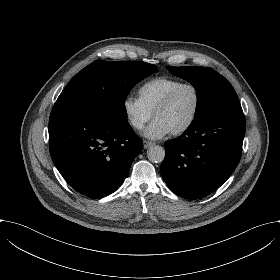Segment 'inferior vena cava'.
Instances as JSON below:
<instances>
[{"label": "inferior vena cava", "instance_id": "602c4592", "mask_svg": "<svg viewBox=\"0 0 280 280\" xmlns=\"http://www.w3.org/2000/svg\"><path fill=\"white\" fill-rule=\"evenodd\" d=\"M132 125L135 127V128H141L142 127V122L139 120V119H133L131 121Z\"/></svg>", "mask_w": 280, "mask_h": 280}]
</instances>
